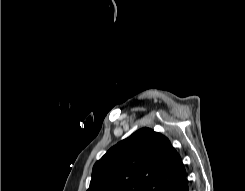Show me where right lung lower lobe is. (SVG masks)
<instances>
[{
  "mask_svg": "<svg viewBox=\"0 0 245 191\" xmlns=\"http://www.w3.org/2000/svg\"><path fill=\"white\" fill-rule=\"evenodd\" d=\"M166 191H189L186 177L174 184L173 186L166 189Z\"/></svg>",
  "mask_w": 245,
  "mask_h": 191,
  "instance_id": "right-lung-lower-lobe-1",
  "label": "right lung lower lobe"
}]
</instances>
